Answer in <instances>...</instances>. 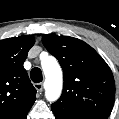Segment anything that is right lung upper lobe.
I'll use <instances>...</instances> for the list:
<instances>
[{
	"label": "right lung upper lobe",
	"mask_w": 119,
	"mask_h": 119,
	"mask_svg": "<svg viewBox=\"0 0 119 119\" xmlns=\"http://www.w3.org/2000/svg\"><path fill=\"white\" fill-rule=\"evenodd\" d=\"M31 35L0 41V119H20L36 100L23 63L34 45Z\"/></svg>",
	"instance_id": "cb5924a9"
}]
</instances>
